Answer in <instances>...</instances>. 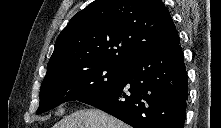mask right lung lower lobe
<instances>
[{
    "mask_svg": "<svg viewBox=\"0 0 221 128\" xmlns=\"http://www.w3.org/2000/svg\"><path fill=\"white\" fill-rule=\"evenodd\" d=\"M188 76L180 44L142 56L109 89L81 102L134 128H183Z\"/></svg>",
    "mask_w": 221,
    "mask_h": 128,
    "instance_id": "1",
    "label": "right lung lower lobe"
}]
</instances>
